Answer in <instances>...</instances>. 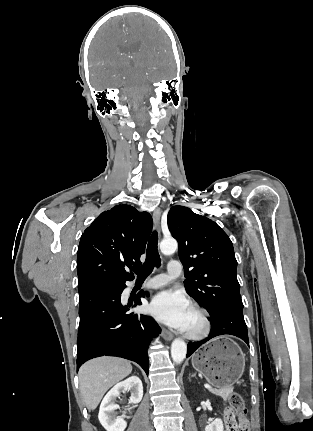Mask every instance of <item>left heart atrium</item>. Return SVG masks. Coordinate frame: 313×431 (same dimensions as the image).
I'll list each match as a JSON object with an SVG mask.
<instances>
[{
	"instance_id": "left-heart-atrium-1",
	"label": "left heart atrium",
	"mask_w": 313,
	"mask_h": 431,
	"mask_svg": "<svg viewBox=\"0 0 313 431\" xmlns=\"http://www.w3.org/2000/svg\"><path fill=\"white\" fill-rule=\"evenodd\" d=\"M150 313L159 321L186 331L191 305L181 292L170 290L155 295L149 305Z\"/></svg>"
}]
</instances>
